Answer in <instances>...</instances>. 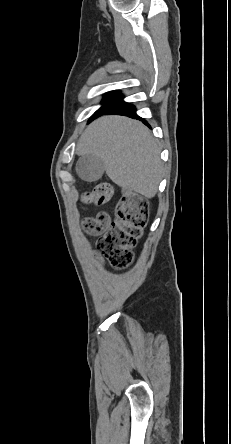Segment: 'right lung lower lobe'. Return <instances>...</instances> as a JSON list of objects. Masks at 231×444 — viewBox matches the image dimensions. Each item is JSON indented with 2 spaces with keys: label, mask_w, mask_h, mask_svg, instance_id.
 Here are the masks:
<instances>
[{
  "label": "right lung lower lobe",
  "mask_w": 231,
  "mask_h": 444,
  "mask_svg": "<svg viewBox=\"0 0 231 444\" xmlns=\"http://www.w3.org/2000/svg\"><path fill=\"white\" fill-rule=\"evenodd\" d=\"M102 114L125 115V116H129V117H132V118L140 119L145 124H147L142 118L137 116V114L135 112V108L132 105H130V104L124 102V101L118 102L117 104H115L111 108H109L106 111H104ZM102 114H100V115H102Z\"/></svg>",
  "instance_id": "obj_1"
}]
</instances>
